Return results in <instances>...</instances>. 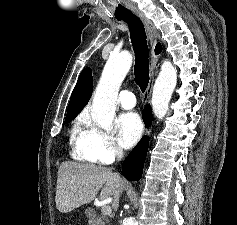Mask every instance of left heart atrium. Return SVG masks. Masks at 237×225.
<instances>
[{"label": "left heart atrium", "instance_id": "left-heart-atrium-1", "mask_svg": "<svg viewBox=\"0 0 237 225\" xmlns=\"http://www.w3.org/2000/svg\"><path fill=\"white\" fill-rule=\"evenodd\" d=\"M117 127L120 143L125 148L134 146L143 131L142 122L134 112L121 114L117 120Z\"/></svg>", "mask_w": 237, "mask_h": 225}]
</instances>
